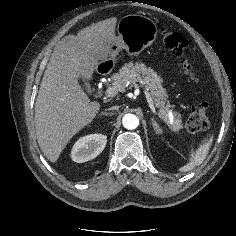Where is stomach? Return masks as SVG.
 Instances as JSON below:
<instances>
[{
    "label": "stomach",
    "mask_w": 236,
    "mask_h": 236,
    "mask_svg": "<svg viewBox=\"0 0 236 236\" xmlns=\"http://www.w3.org/2000/svg\"><path fill=\"white\" fill-rule=\"evenodd\" d=\"M118 36L109 47L108 60L113 61L121 49H125L129 55H138L150 46L157 37L156 24L142 15L124 16L117 25Z\"/></svg>",
    "instance_id": "1"
}]
</instances>
